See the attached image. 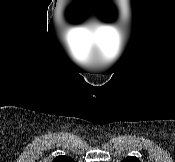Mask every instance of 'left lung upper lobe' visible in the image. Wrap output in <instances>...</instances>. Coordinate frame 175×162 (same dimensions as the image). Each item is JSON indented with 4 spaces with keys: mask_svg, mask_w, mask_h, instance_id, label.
I'll list each match as a JSON object with an SVG mask.
<instances>
[{
    "mask_svg": "<svg viewBox=\"0 0 175 162\" xmlns=\"http://www.w3.org/2000/svg\"><path fill=\"white\" fill-rule=\"evenodd\" d=\"M121 162H140V160L134 156H130L122 160Z\"/></svg>",
    "mask_w": 175,
    "mask_h": 162,
    "instance_id": "1",
    "label": "left lung upper lobe"
}]
</instances>
